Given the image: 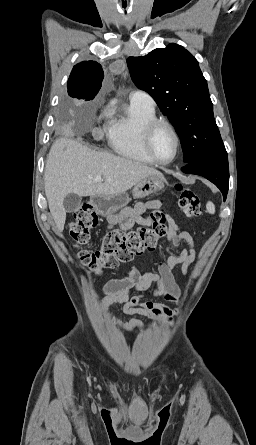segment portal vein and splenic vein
Returning <instances> with one entry per match:
<instances>
[{"mask_svg":"<svg viewBox=\"0 0 256 445\" xmlns=\"http://www.w3.org/2000/svg\"><path fill=\"white\" fill-rule=\"evenodd\" d=\"M94 180L96 182H101L103 180V178L101 176H97Z\"/></svg>","mask_w":256,"mask_h":445,"instance_id":"obj_1","label":"portal vein and splenic vein"}]
</instances>
